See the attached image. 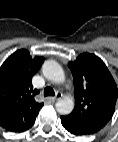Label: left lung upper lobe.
Returning <instances> with one entry per match:
<instances>
[{"mask_svg": "<svg viewBox=\"0 0 118 142\" xmlns=\"http://www.w3.org/2000/svg\"><path fill=\"white\" fill-rule=\"evenodd\" d=\"M75 85V108L62 116L89 134L101 130L112 118L118 97L116 83L104 62L94 54L83 53L69 62Z\"/></svg>", "mask_w": 118, "mask_h": 142, "instance_id": "5c2ea615", "label": "left lung upper lobe"}]
</instances>
